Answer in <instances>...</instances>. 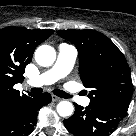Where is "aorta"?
I'll use <instances>...</instances> for the list:
<instances>
[{"instance_id":"aorta-1","label":"aorta","mask_w":136,"mask_h":136,"mask_svg":"<svg viewBox=\"0 0 136 136\" xmlns=\"http://www.w3.org/2000/svg\"><path fill=\"white\" fill-rule=\"evenodd\" d=\"M56 59L55 49L49 45H41L35 51L36 62L43 67L51 66ZM74 107L68 101H61L57 105V112L60 116L66 117L73 114Z\"/></svg>"}]
</instances>
